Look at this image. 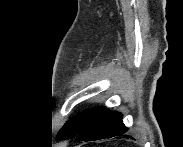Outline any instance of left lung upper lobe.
Here are the masks:
<instances>
[{
  "label": "left lung upper lobe",
  "instance_id": "obj_1",
  "mask_svg": "<svg viewBox=\"0 0 183 147\" xmlns=\"http://www.w3.org/2000/svg\"><path fill=\"white\" fill-rule=\"evenodd\" d=\"M90 112V110H87L67 122L58 133V138L67 140L75 137Z\"/></svg>",
  "mask_w": 183,
  "mask_h": 147
}]
</instances>
